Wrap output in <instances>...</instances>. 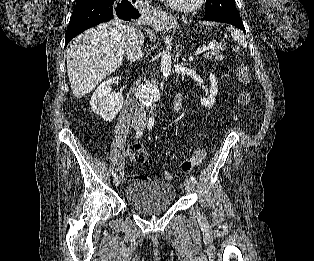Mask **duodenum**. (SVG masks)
I'll return each mask as SVG.
<instances>
[{"instance_id":"obj_1","label":"duodenum","mask_w":314,"mask_h":261,"mask_svg":"<svg viewBox=\"0 0 314 261\" xmlns=\"http://www.w3.org/2000/svg\"><path fill=\"white\" fill-rule=\"evenodd\" d=\"M176 105H177V106H180V105H181V98H180V97H178V98L176 99Z\"/></svg>"}]
</instances>
